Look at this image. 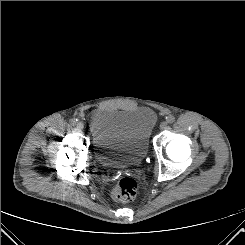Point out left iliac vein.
Returning <instances> with one entry per match:
<instances>
[{"mask_svg": "<svg viewBox=\"0 0 245 245\" xmlns=\"http://www.w3.org/2000/svg\"><path fill=\"white\" fill-rule=\"evenodd\" d=\"M166 127H167V122H161V124H160V129L161 130H164V129H166Z\"/></svg>", "mask_w": 245, "mask_h": 245, "instance_id": "4c4485c4", "label": "left iliac vein"}]
</instances>
